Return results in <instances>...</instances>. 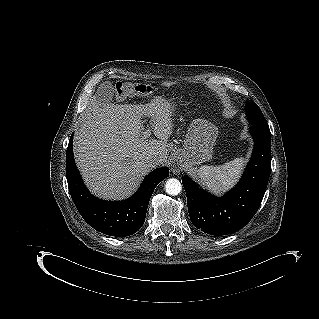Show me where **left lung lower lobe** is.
Segmentation results:
<instances>
[{
  "label": "left lung lower lobe",
  "mask_w": 319,
  "mask_h": 319,
  "mask_svg": "<svg viewBox=\"0 0 319 319\" xmlns=\"http://www.w3.org/2000/svg\"><path fill=\"white\" fill-rule=\"evenodd\" d=\"M254 148L239 183L222 197L200 189L188 176L182 179L193 225L210 235H227L243 228L257 212L271 172L269 127L252 125Z\"/></svg>",
  "instance_id": "1"
}]
</instances>
